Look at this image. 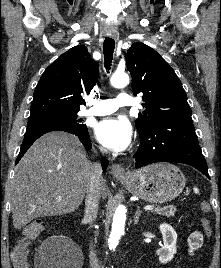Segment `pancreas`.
I'll return each instance as SVG.
<instances>
[{
	"label": "pancreas",
	"instance_id": "pancreas-1",
	"mask_svg": "<svg viewBox=\"0 0 221 268\" xmlns=\"http://www.w3.org/2000/svg\"><path fill=\"white\" fill-rule=\"evenodd\" d=\"M153 213L165 216V217H173L175 215L176 212V207L173 205H168L165 207H155L152 210Z\"/></svg>",
	"mask_w": 221,
	"mask_h": 268
}]
</instances>
